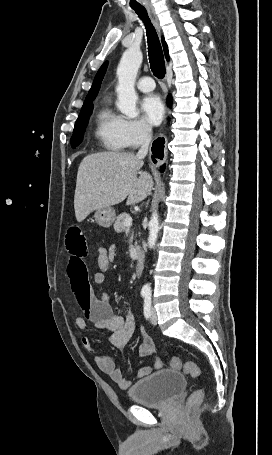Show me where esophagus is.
<instances>
[{
  "label": "esophagus",
  "instance_id": "34e87169",
  "mask_svg": "<svg viewBox=\"0 0 272 455\" xmlns=\"http://www.w3.org/2000/svg\"><path fill=\"white\" fill-rule=\"evenodd\" d=\"M146 9H147L149 15L151 16V18H152V20L154 22V25L159 30V24H158L157 19L155 17V13H154L153 7L150 4H147L146 5ZM164 143H165L164 138H157L153 142L151 163L155 167L159 166L166 159V153H165V157H164Z\"/></svg>",
  "mask_w": 272,
  "mask_h": 455
}]
</instances>
